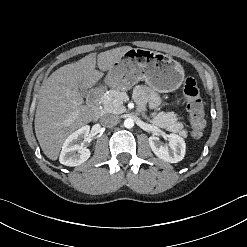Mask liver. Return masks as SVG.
Returning <instances> with one entry per match:
<instances>
[{"label": "liver", "instance_id": "liver-1", "mask_svg": "<svg viewBox=\"0 0 247 247\" xmlns=\"http://www.w3.org/2000/svg\"><path fill=\"white\" fill-rule=\"evenodd\" d=\"M130 46L90 53L79 61L53 72L40 88L35 114V133L40 147L50 160H57L63 142L76 129L90 123L96 112L83 105L80 89L93 87ZM96 64L100 71L96 70Z\"/></svg>", "mask_w": 247, "mask_h": 247}]
</instances>
